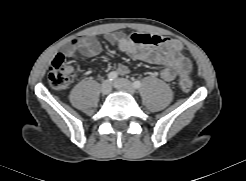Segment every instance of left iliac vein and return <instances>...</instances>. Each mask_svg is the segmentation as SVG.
Here are the masks:
<instances>
[{
    "label": "left iliac vein",
    "instance_id": "1",
    "mask_svg": "<svg viewBox=\"0 0 246 181\" xmlns=\"http://www.w3.org/2000/svg\"><path fill=\"white\" fill-rule=\"evenodd\" d=\"M113 86L118 90L127 91L132 95L135 94L133 84L127 79L119 78L113 82Z\"/></svg>",
    "mask_w": 246,
    "mask_h": 181
}]
</instances>
